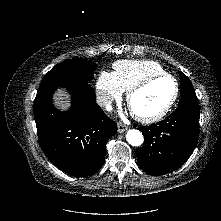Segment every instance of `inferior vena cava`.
Listing matches in <instances>:
<instances>
[{"label":"inferior vena cava","mask_w":221,"mask_h":221,"mask_svg":"<svg viewBox=\"0 0 221 221\" xmlns=\"http://www.w3.org/2000/svg\"><path fill=\"white\" fill-rule=\"evenodd\" d=\"M112 97L109 93L105 91H100L96 95V102L99 106L104 107L111 103Z\"/></svg>","instance_id":"obj_1"}]
</instances>
